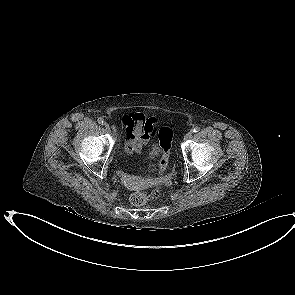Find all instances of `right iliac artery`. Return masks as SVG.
Wrapping results in <instances>:
<instances>
[{
    "label": "right iliac artery",
    "mask_w": 295,
    "mask_h": 295,
    "mask_svg": "<svg viewBox=\"0 0 295 295\" xmlns=\"http://www.w3.org/2000/svg\"><path fill=\"white\" fill-rule=\"evenodd\" d=\"M97 121H98V123H99V124H101V125H103V124H104V120H103L102 118H98V120H97Z\"/></svg>",
    "instance_id": "82829eb1"
}]
</instances>
